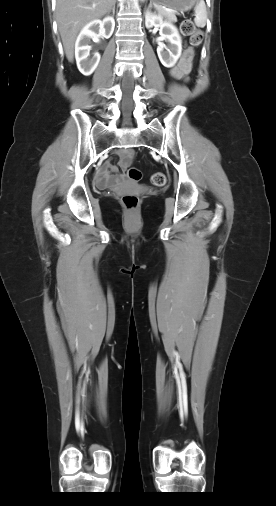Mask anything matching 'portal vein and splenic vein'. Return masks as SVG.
<instances>
[{
	"mask_svg": "<svg viewBox=\"0 0 276 506\" xmlns=\"http://www.w3.org/2000/svg\"><path fill=\"white\" fill-rule=\"evenodd\" d=\"M167 12H170V13H175L174 11H167Z\"/></svg>",
	"mask_w": 276,
	"mask_h": 506,
	"instance_id": "1",
	"label": "portal vein and splenic vein"
}]
</instances>
